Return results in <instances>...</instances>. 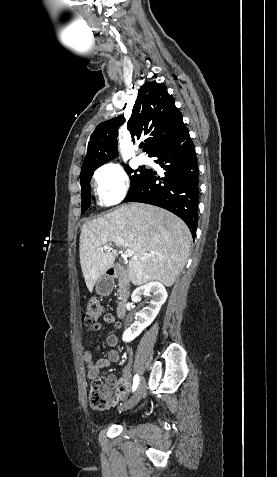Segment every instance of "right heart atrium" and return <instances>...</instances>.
<instances>
[{"instance_id": "obj_1", "label": "right heart atrium", "mask_w": 277, "mask_h": 477, "mask_svg": "<svg viewBox=\"0 0 277 477\" xmlns=\"http://www.w3.org/2000/svg\"><path fill=\"white\" fill-rule=\"evenodd\" d=\"M94 181L99 201L107 206L121 202L129 189L126 171L115 163H107L98 168Z\"/></svg>"}]
</instances>
